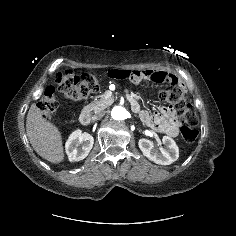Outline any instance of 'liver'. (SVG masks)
Wrapping results in <instances>:
<instances>
[{
    "label": "liver",
    "mask_w": 236,
    "mask_h": 236,
    "mask_svg": "<svg viewBox=\"0 0 236 236\" xmlns=\"http://www.w3.org/2000/svg\"><path fill=\"white\" fill-rule=\"evenodd\" d=\"M26 131L38 155L51 163H60L64 160L61 133L54 124L42 116L36 104H32L28 111Z\"/></svg>",
    "instance_id": "1"
}]
</instances>
